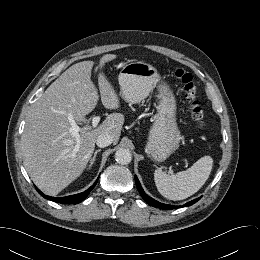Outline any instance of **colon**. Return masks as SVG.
I'll return each mask as SVG.
<instances>
[{
  "label": "colon",
  "mask_w": 260,
  "mask_h": 260,
  "mask_svg": "<svg viewBox=\"0 0 260 260\" xmlns=\"http://www.w3.org/2000/svg\"><path fill=\"white\" fill-rule=\"evenodd\" d=\"M173 76L181 81L187 101L190 103L191 117L198 126L204 125V115L198 101L196 100V87L190 73L180 68L171 70Z\"/></svg>",
  "instance_id": "1"
}]
</instances>
